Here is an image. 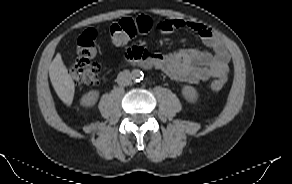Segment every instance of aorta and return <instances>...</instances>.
I'll list each match as a JSON object with an SVG mask.
<instances>
[{"label": "aorta", "instance_id": "762f6f07", "mask_svg": "<svg viewBox=\"0 0 292 184\" xmlns=\"http://www.w3.org/2000/svg\"><path fill=\"white\" fill-rule=\"evenodd\" d=\"M143 72L140 71L139 69H134L132 72H131V77L134 81H140L143 79Z\"/></svg>", "mask_w": 292, "mask_h": 184}]
</instances>
